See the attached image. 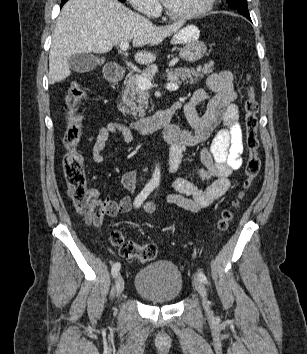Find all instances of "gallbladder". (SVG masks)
Masks as SVG:
<instances>
[{
	"label": "gallbladder",
	"mask_w": 307,
	"mask_h": 354,
	"mask_svg": "<svg viewBox=\"0 0 307 354\" xmlns=\"http://www.w3.org/2000/svg\"><path fill=\"white\" fill-rule=\"evenodd\" d=\"M104 59L94 55L82 53L75 54L69 59L70 68L76 72H89L95 69L98 65L103 64Z\"/></svg>",
	"instance_id": "obj_1"
}]
</instances>
